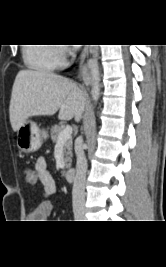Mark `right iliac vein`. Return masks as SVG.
I'll return each instance as SVG.
<instances>
[{
  "mask_svg": "<svg viewBox=\"0 0 166 267\" xmlns=\"http://www.w3.org/2000/svg\"><path fill=\"white\" fill-rule=\"evenodd\" d=\"M75 216L77 219H84L85 218V212L82 210L76 211Z\"/></svg>",
  "mask_w": 166,
  "mask_h": 267,
  "instance_id": "63e3f726",
  "label": "right iliac vein"
}]
</instances>
